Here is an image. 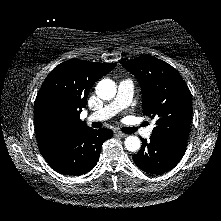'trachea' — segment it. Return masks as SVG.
Segmentation results:
<instances>
[{"instance_id": "obj_1", "label": "trachea", "mask_w": 221, "mask_h": 221, "mask_svg": "<svg viewBox=\"0 0 221 221\" xmlns=\"http://www.w3.org/2000/svg\"><path fill=\"white\" fill-rule=\"evenodd\" d=\"M137 130L136 127H123L122 128V132L130 134V133H134Z\"/></svg>"}]
</instances>
